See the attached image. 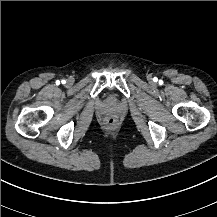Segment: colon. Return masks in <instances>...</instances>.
<instances>
[{
	"label": "colon",
	"instance_id": "1",
	"mask_svg": "<svg viewBox=\"0 0 217 217\" xmlns=\"http://www.w3.org/2000/svg\"><path fill=\"white\" fill-rule=\"evenodd\" d=\"M107 124H108L110 127H113V126L116 124V121H115L113 118H110V119L107 121Z\"/></svg>",
	"mask_w": 217,
	"mask_h": 217
}]
</instances>
